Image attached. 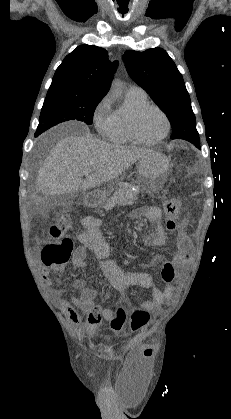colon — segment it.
<instances>
[{
    "label": "colon",
    "instance_id": "obj_1",
    "mask_svg": "<svg viewBox=\"0 0 231 419\" xmlns=\"http://www.w3.org/2000/svg\"><path fill=\"white\" fill-rule=\"evenodd\" d=\"M181 203L176 198H168L164 202V214L166 217V227L170 231L177 228V218L180 214ZM72 228V221L68 215H62L49 228V235L53 242L45 245L42 249V261L47 266L62 265L69 261L74 244L70 238L63 235ZM160 280H164L168 285L175 280V265L172 258H166L160 265ZM102 312V308L96 305L93 308V314L97 320ZM148 320L146 312L139 309L135 310L130 318L131 328L134 331L140 330ZM126 323V310L120 306L113 312L109 319L110 329L114 332H121Z\"/></svg>",
    "mask_w": 231,
    "mask_h": 419
}]
</instances>
